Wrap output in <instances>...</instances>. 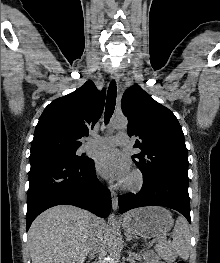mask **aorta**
<instances>
[{
  "label": "aorta",
  "instance_id": "1",
  "mask_svg": "<svg viewBox=\"0 0 220 263\" xmlns=\"http://www.w3.org/2000/svg\"><path fill=\"white\" fill-rule=\"evenodd\" d=\"M111 127L114 129H123L127 127V119L124 116H116L111 121ZM119 226L115 214H110L107 226V242L111 253H115L119 246Z\"/></svg>",
  "mask_w": 220,
  "mask_h": 263
}]
</instances>
